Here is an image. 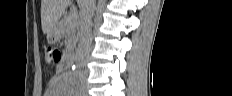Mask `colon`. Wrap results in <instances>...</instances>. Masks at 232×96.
Masks as SVG:
<instances>
[{
  "label": "colon",
  "mask_w": 232,
  "mask_h": 96,
  "mask_svg": "<svg viewBox=\"0 0 232 96\" xmlns=\"http://www.w3.org/2000/svg\"><path fill=\"white\" fill-rule=\"evenodd\" d=\"M45 54L47 62L50 64L58 63L61 59V52L56 48H47Z\"/></svg>",
  "instance_id": "1"
}]
</instances>
